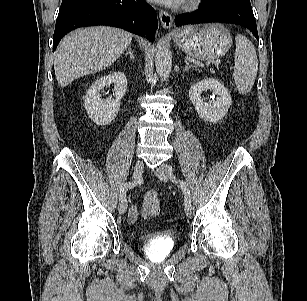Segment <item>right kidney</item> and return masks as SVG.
<instances>
[{"label":"right kidney","instance_id":"ca27d5eb","mask_svg":"<svg viewBox=\"0 0 307 301\" xmlns=\"http://www.w3.org/2000/svg\"><path fill=\"white\" fill-rule=\"evenodd\" d=\"M114 84L115 99H101L100 91L107 85ZM127 90L126 75L113 72L97 79L88 90L84 105L90 119L97 125H106L113 121L119 111L120 100Z\"/></svg>","mask_w":307,"mask_h":301}]
</instances>
